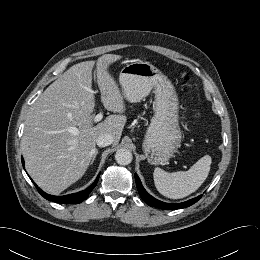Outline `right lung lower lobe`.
Returning <instances> with one entry per match:
<instances>
[{"instance_id": "1", "label": "right lung lower lobe", "mask_w": 260, "mask_h": 260, "mask_svg": "<svg viewBox=\"0 0 260 260\" xmlns=\"http://www.w3.org/2000/svg\"><path fill=\"white\" fill-rule=\"evenodd\" d=\"M22 164H24L23 158H22ZM98 179H99V175L96 178V180L94 181V183L87 189H85L81 192H78V193H73V194H69V195H65V196H52V195H49V194H46L45 192H43L39 187H37L36 184H35V186H36L38 192L47 200L54 201L57 203H64V204H78L87 198L89 193L96 186Z\"/></svg>"}]
</instances>
